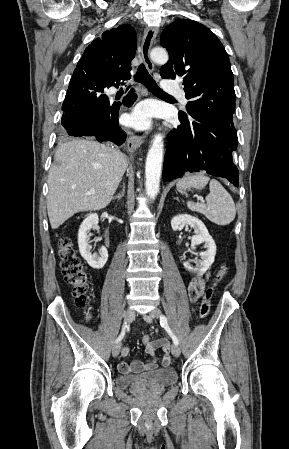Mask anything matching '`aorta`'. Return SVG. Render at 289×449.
Here are the masks:
<instances>
[{
    "label": "aorta",
    "mask_w": 289,
    "mask_h": 449,
    "mask_svg": "<svg viewBox=\"0 0 289 449\" xmlns=\"http://www.w3.org/2000/svg\"><path fill=\"white\" fill-rule=\"evenodd\" d=\"M151 59L160 65L168 61V53L163 48H154L150 53ZM164 142L163 137L158 134L155 136L150 149L148 150L145 165V188L147 195L154 198L160 188V177L163 162Z\"/></svg>",
    "instance_id": "aorta-1"
}]
</instances>
